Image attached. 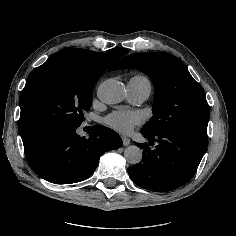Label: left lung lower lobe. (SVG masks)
Returning <instances> with one entry per match:
<instances>
[{"mask_svg": "<svg viewBox=\"0 0 236 236\" xmlns=\"http://www.w3.org/2000/svg\"><path fill=\"white\" fill-rule=\"evenodd\" d=\"M141 133L150 140L135 143L143 149V158L128 168L129 176L138 186L167 192L193 177L206 151L207 137L174 130H163L156 135Z\"/></svg>", "mask_w": 236, "mask_h": 236, "instance_id": "left-lung-lower-lobe-1", "label": "left lung lower lobe"}]
</instances>
